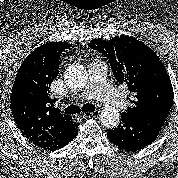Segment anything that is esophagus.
Returning <instances> with one entry per match:
<instances>
[{
	"label": "esophagus",
	"instance_id": "34e87169",
	"mask_svg": "<svg viewBox=\"0 0 178 178\" xmlns=\"http://www.w3.org/2000/svg\"><path fill=\"white\" fill-rule=\"evenodd\" d=\"M99 110H95V111H93V112H91V113H81V117H83V118H86V117H96L98 114H99Z\"/></svg>",
	"mask_w": 178,
	"mask_h": 178
}]
</instances>
